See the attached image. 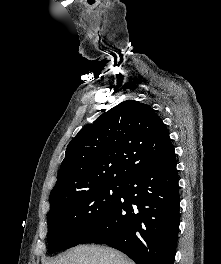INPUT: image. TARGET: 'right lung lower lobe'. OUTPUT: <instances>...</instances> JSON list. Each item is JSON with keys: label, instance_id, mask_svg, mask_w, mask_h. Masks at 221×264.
Segmentation results:
<instances>
[{"label": "right lung lower lobe", "instance_id": "1", "mask_svg": "<svg viewBox=\"0 0 221 264\" xmlns=\"http://www.w3.org/2000/svg\"><path fill=\"white\" fill-rule=\"evenodd\" d=\"M180 196L175 154L123 182L112 211L79 244L102 243L136 264H173Z\"/></svg>", "mask_w": 221, "mask_h": 264}]
</instances>
